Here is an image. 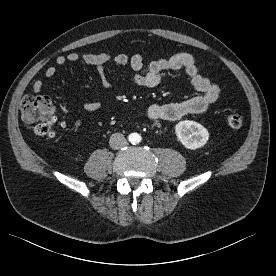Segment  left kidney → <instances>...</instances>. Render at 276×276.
<instances>
[{"mask_svg":"<svg viewBox=\"0 0 276 276\" xmlns=\"http://www.w3.org/2000/svg\"><path fill=\"white\" fill-rule=\"evenodd\" d=\"M175 133L182 145L190 150L203 147L209 139L208 130L201 124L190 120L177 123Z\"/></svg>","mask_w":276,"mask_h":276,"instance_id":"left-kidney-1","label":"left kidney"}]
</instances>
